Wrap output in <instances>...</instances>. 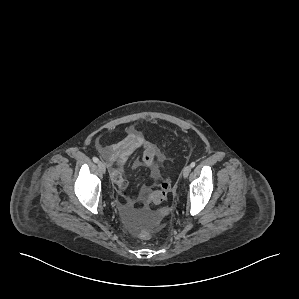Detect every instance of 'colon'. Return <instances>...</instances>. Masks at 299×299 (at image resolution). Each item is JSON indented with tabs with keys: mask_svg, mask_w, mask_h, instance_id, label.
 <instances>
[{
	"mask_svg": "<svg viewBox=\"0 0 299 299\" xmlns=\"http://www.w3.org/2000/svg\"><path fill=\"white\" fill-rule=\"evenodd\" d=\"M169 190V182L163 181L161 183V189L156 190L154 192L151 193L149 200L154 202V203H162L164 201L167 200V191ZM162 215L166 214V210H162ZM160 222L151 225L147 228H144L143 230H141L140 232V237L143 239H148L151 238L153 235L156 234V232L159 229L160 226Z\"/></svg>",
	"mask_w": 299,
	"mask_h": 299,
	"instance_id": "1",
	"label": "colon"
}]
</instances>
